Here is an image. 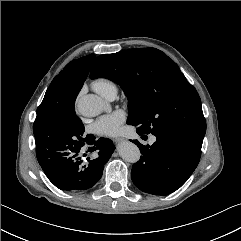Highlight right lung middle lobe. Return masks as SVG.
<instances>
[{
  "instance_id": "1",
  "label": "right lung middle lobe",
  "mask_w": 241,
  "mask_h": 241,
  "mask_svg": "<svg viewBox=\"0 0 241 241\" xmlns=\"http://www.w3.org/2000/svg\"><path fill=\"white\" fill-rule=\"evenodd\" d=\"M74 108H61L43 100L37 108L33 125L35 137L44 144L81 147L88 140V136L85 138L84 125Z\"/></svg>"
}]
</instances>
